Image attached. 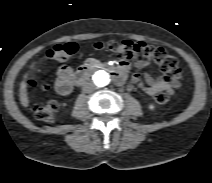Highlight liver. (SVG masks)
<instances>
[{"label":"liver","instance_id":"1","mask_svg":"<svg viewBox=\"0 0 212 183\" xmlns=\"http://www.w3.org/2000/svg\"><path fill=\"white\" fill-rule=\"evenodd\" d=\"M35 65V62L30 66V68L32 69ZM28 77V73L25 74L24 76V81H22L21 85H20V101L21 104L24 107H28L29 106V99H28V93H27V85H26V79Z\"/></svg>","mask_w":212,"mask_h":183}]
</instances>
